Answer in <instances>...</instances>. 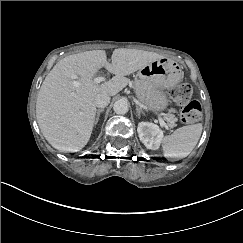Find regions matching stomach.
<instances>
[{"label":"stomach","instance_id":"1","mask_svg":"<svg viewBox=\"0 0 243 243\" xmlns=\"http://www.w3.org/2000/svg\"><path fill=\"white\" fill-rule=\"evenodd\" d=\"M181 78L182 70L177 63L160 58L137 72L134 81L136 96L150 110L162 111L169 102L164 91L178 84Z\"/></svg>","mask_w":243,"mask_h":243}]
</instances>
